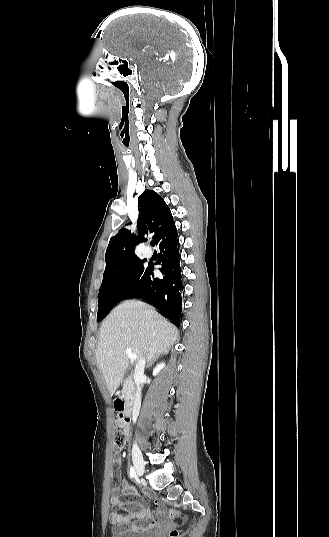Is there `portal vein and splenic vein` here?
<instances>
[{
    "label": "portal vein and splenic vein",
    "mask_w": 329,
    "mask_h": 537,
    "mask_svg": "<svg viewBox=\"0 0 329 537\" xmlns=\"http://www.w3.org/2000/svg\"><path fill=\"white\" fill-rule=\"evenodd\" d=\"M126 354H127V356L129 357L130 360L137 359V355L132 353V350L129 347L126 348Z\"/></svg>",
    "instance_id": "obj_1"
}]
</instances>
